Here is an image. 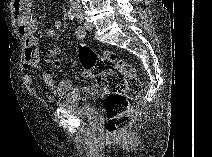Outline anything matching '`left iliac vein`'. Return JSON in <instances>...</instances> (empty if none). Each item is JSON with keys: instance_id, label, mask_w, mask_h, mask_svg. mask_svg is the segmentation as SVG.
Here are the masks:
<instances>
[{"instance_id": "1", "label": "left iliac vein", "mask_w": 212, "mask_h": 157, "mask_svg": "<svg viewBox=\"0 0 212 157\" xmlns=\"http://www.w3.org/2000/svg\"><path fill=\"white\" fill-rule=\"evenodd\" d=\"M84 28L87 30V31H92L93 30V25L89 22H85L84 24Z\"/></svg>"}]
</instances>
